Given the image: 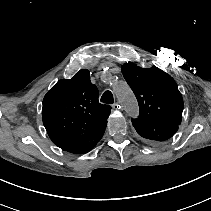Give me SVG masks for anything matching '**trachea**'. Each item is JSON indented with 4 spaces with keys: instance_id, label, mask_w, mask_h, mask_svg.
<instances>
[{
    "instance_id": "3493384b",
    "label": "trachea",
    "mask_w": 211,
    "mask_h": 211,
    "mask_svg": "<svg viewBox=\"0 0 211 211\" xmlns=\"http://www.w3.org/2000/svg\"><path fill=\"white\" fill-rule=\"evenodd\" d=\"M101 102L105 103V104H112L114 103V99H113V94L111 93V91H105L102 94L101 97Z\"/></svg>"
}]
</instances>
